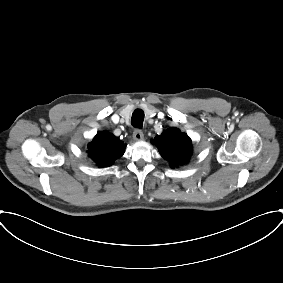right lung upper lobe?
<instances>
[{
    "mask_svg": "<svg viewBox=\"0 0 283 283\" xmlns=\"http://www.w3.org/2000/svg\"><path fill=\"white\" fill-rule=\"evenodd\" d=\"M88 149L89 156L99 167H107L124 154L125 145L113 134L103 131L97 133Z\"/></svg>",
    "mask_w": 283,
    "mask_h": 283,
    "instance_id": "obj_1",
    "label": "right lung upper lobe"
}]
</instances>
